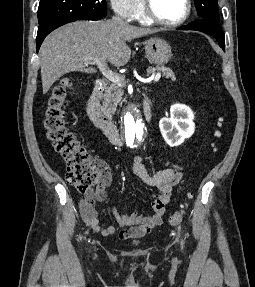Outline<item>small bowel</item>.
I'll list each match as a JSON object with an SVG mask.
<instances>
[{"label": "small bowel", "mask_w": 255, "mask_h": 287, "mask_svg": "<svg viewBox=\"0 0 255 287\" xmlns=\"http://www.w3.org/2000/svg\"><path fill=\"white\" fill-rule=\"evenodd\" d=\"M133 173L145 185L157 189L151 201L152 214L142 216L134 211L125 214L117 209L113 210L115 220L124 227L119 231L121 238L141 237L149 234L151 230L163 222L166 206L170 202L174 187L181 181L182 173L176 167L165 168L150 173L143 164L142 158L137 156L133 161ZM111 183L109 169L102 165L101 176L97 188L88 192L80 200V212L83 221L96 233L102 236H112L117 230L114 226L103 227L98 219L95 208L96 201H103L107 197L106 188Z\"/></svg>", "instance_id": "c3829d8e"}]
</instances>
